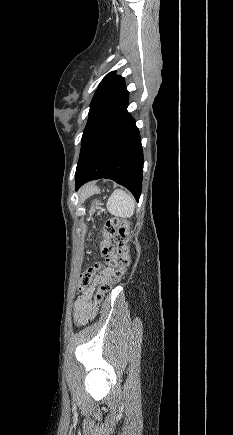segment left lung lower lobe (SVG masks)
<instances>
[{
    "mask_svg": "<svg viewBox=\"0 0 233 435\" xmlns=\"http://www.w3.org/2000/svg\"><path fill=\"white\" fill-rule=\"evenodd\" d=\"M143 152L139 130L126 112L108 124L80 155L76 189L107 178L125 186L138 201L142 189Z\"/></svg>",
    "mask_w": 233,
    "mask_h": 435,
    "instance_id": "obj_1",
    "label": "left lung lower lobe"
}]
</instances>
